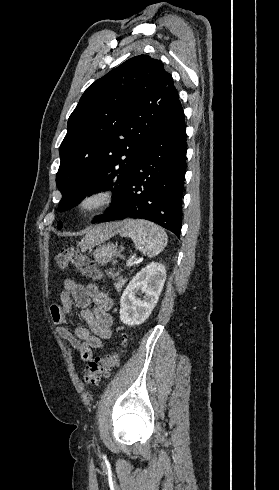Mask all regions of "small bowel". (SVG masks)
<instances>
[{
    "label": "small bowel",
    "instance_id": "1",
    "mask_svg": "<svg viewBox=\"0 0 279 490\" xmlns=\"http://www.w3.org/2000/svg\"><path fill=\"white\" fill-rule=\"evenodd\" d=\"M63 286L60 303L50 307L51 319L60 338L77 351L82 360L88 361L93 356V349L103 348L104 342L112 337V318L109 315L112 301L92 283L84 286L73 279H66ZM74 305L81 309L80 317L87 327L79 326L71 332L66 322Z\"/></svg>",
    "mask_w": 279,
    "mask_h": 490
}]
</instances>
